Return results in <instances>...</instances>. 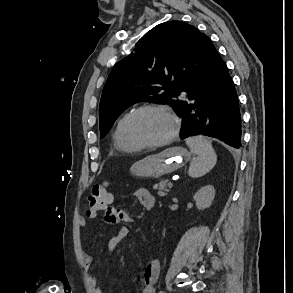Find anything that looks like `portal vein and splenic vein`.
<instances>
[{
	"label": "portal vein and splenic vein",
	"instance_id": "obj_1",
	"mask_svg": "<svg viewBox=\"0 0 293 293\" xmlns=\"http://www.w3.org/2000/svg\"><path fill=\"white\" fill-rule=\"evenodd\" d=\"M168 187H169V188H172V187H173V183H172V182H169V183H168Z\"/></svg>",
	"mask_w": 293,
	"mask_h": 293
}]
</instances>
